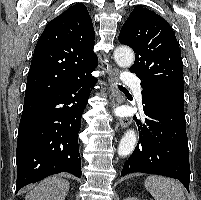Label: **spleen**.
I'll return each instance as SVG.
<instances>
[{
    "instance_id": "obj_1",
    "label": "spleen",
    "mask_w": 201,
    "mask_h": 200,
    "mask_svg": "<svg viewBox=\"0 0 201 200\" xmlns=\"http://www.w3.org/2000/svg\"><path fill=\"white\" fill-rule=\"evenodd\" d=\"M145 188L155 200H186L182 186L166 177L157 175L147 177Z\"/></svg>"
}]
</instances>
